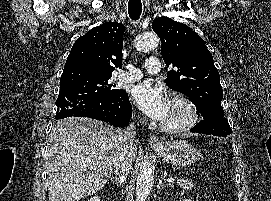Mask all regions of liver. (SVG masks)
<instances>
[{
	"label": "liver",
	"instance_id": "liver-1",
	"mask_svg": "<svg viewBox=\"0 0 271 201\" xmlns=\"http://www.w3.org/2000/svg\"><path fill=\"white\" fill-rule=\"evenodd\" d=\"M116 130L90 118L59 120L48 138L49 201H79L108 181L118 150ZM137 149L134 145L132 159Z\"/></svg>",
	"mask_w": 271,
	"mask_h": 201
}]
</instances>
